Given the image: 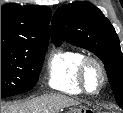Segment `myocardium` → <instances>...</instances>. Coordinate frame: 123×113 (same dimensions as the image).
<instances>
[{"label": "myocardium", "instance_id": "obj_1", "mask_svg": "<svg viewBox=\"0 0 123 113\" xmlns=\"http://www.w3.org/2000/svg\"><path fill=\"white\" fill-rule=\"evenodd\" d=\"M91 67H95L99 73V84L95 89H91L88 83V72ZM78 81L82 89L89 94H98L106 83V73L102 63L93 56H85L78 67Z\"/></svg>", "mask_w": 123, "mask_h": 113}]
</instances>
